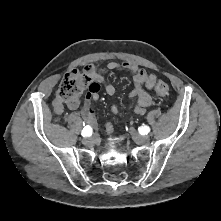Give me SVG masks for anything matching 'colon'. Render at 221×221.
<instances>
[{
    "mask_svg": "<svg viewBox=\"0 0 221 221\" xmlns=\"http://www.w3.org/2000/svg\"><path fill=\"white\" fill-rule=\"evenodd\" d=\"M91 85L95 84L87 72L73 70L63 78L58 89V99L66 101L77 98L84 92L88 94V88ZM155 92L161 97H166L169 93L168 84L162 80L158 81L155 85Z\"/></svg>",
    "mask_w": 221,
    "mask_h": 221,
    "instance_id": "5ec220e1",
    "label": "colon"
}]
</instances>
